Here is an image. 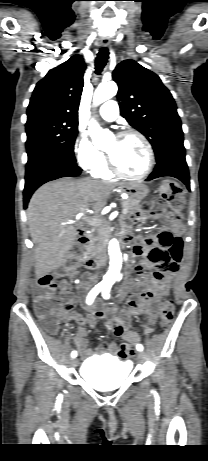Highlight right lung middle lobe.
Instances as JSON below:
<instances>
[{
	"label": "right lung middle lobe",
	"instance_id": "dd1d6c3e",
	"mask_svg": "<svg viewBox=\"0 0 208 461\" xmlns=\"http://www.w3.org/2000/svg\"><path fill=\"white\" fill-rule=\"evenodd\" d=\"M26 133L27 164L46 154H58L76 161L73 150L78 133V121L28 117Z\"/></svg>",
	"mask_w": 208,
	"mask_h": 461
}]
</instances>
